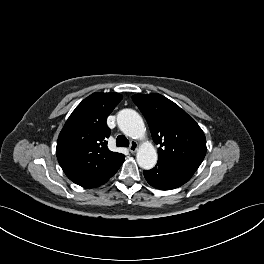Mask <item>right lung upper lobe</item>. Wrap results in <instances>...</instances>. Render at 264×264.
I'll list each match as a JSON object with an SVG mask.
<instances>
[{
	"label": "right lung upper lobe",
	"mask_w": 264,
	"mask_h": 264,
	"mask_svg": "<svg viewBox=\"0 0 264 264\" xmlns=\"http://www.w3.org/2000/svg\"><path fill=\"white\" fill-rule=\"evenodd\" d=\"M118 93L96 92L72 112L60 132L56 154L67 177L80 184L110 167L123 157L107 148L110 129L108 115L121 101Z\"/></svg>",
	"instance_id": "cb5924a9"
}]
</instances>
